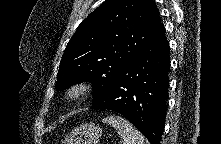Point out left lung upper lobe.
I'll list each match as a JSON object with an SVG mask.
<instances>
[{"mask_svg": "<svg viewBox=\"0 0 221 144\" xmlns=\"http://www.w3.org/2000/svg\"><path fill=\"white\" fill-rule=\"evenodd\" d=\"M153 0H106L78 26L64 51L55 88L93 85V102L161 27Z\"/></svg>", "mask_w": 221, "mask_h": 144, "instance_id": "obj_1", "label": "left lung upper lobe"}]
</instances>
